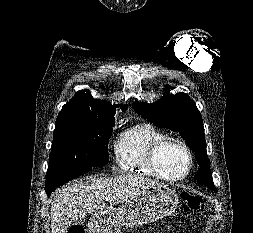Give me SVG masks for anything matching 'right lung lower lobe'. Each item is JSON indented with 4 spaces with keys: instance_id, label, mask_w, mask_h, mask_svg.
I'll list each match as a JSON object with an SVG mask.
<instances>
[{
    "instance_id": "1",
    "label": "right lung lower lobe",
    "mask_w": 253,
    "mask_h": 233,
    "mask_svg": "<svg viewBox=\"0 0 253 233\" xmlns=\"http://www.w3.org/2000/svg\"><path fill=\"white\" fill-rule=\"evenodd\" d=\"M91 169L88 168H74V169H67L58 173H55L51 176L46 177L45 182V191L48 196L61 185L69 182L70 180L90 171Z\"/></svg>"
}]
</instances>
